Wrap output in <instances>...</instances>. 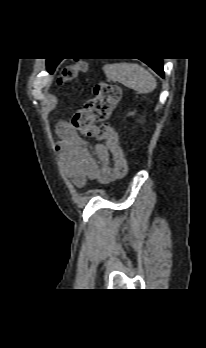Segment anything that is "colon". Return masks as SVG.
<instances>
[{
	"instance_id": "colon-1",
	"label": "colon",
	"mask_w": 206,
	"mask_h": 348,
	"mask_svg": "<svg viewBox=\"0 0 206 348\" xmlns=\"http://www.w3.org/2000/svg\"><path fill=\"white\" fill-rule=\"evenodd\" d=\"M87 69V62L75 60L61 70L58 82L73 80L77 74ZM121 98L119 86L102 81L95 85L93 96L86 101L83 108L73 113L72 127L100 141H104L114 158V172L118 178L128 173V162L119 143L115 129L108 123V119L115 105Z\"/></svg>"
}]
</instances>
